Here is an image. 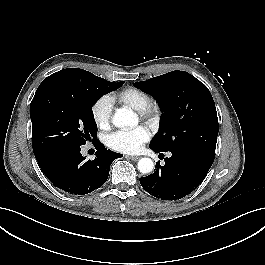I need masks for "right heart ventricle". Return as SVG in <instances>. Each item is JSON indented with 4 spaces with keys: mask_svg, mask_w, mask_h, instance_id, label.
Returning <instances> with one entry per match:
<instances>
[{
    "mask_svg": "<svg viewBox=\"0 0 265 265\" xmlns=\"http://www.w3.org/2000/svg\"><path fill=\"white\" fill-rule=\"evenodd\" d=\"M118 100L136 111L143 109L151 102V98L147 92L135 87H130L121 91L118 94Z\"/></svg>",
    "mask_w": 265,
    "mask_h": 265,
    "instance_id": "1",
    "label": "right heart ventricle"
}]
</instances>
